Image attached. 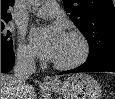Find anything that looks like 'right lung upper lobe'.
Returning <instances> with one entry per match:
<instances>
[{"label": "right lung upper lobe", "instance_id": "obj_1", "mask_svg": "<svg viewBox=\"0 0 115 99\" xmlns=\"http://www.w3.org/2000/svg\"><path fill=\"white\" fill-rule=\"evenodd\" d=\"M14 0H1V23H7L12 19L9 9L13 6Z\"/></svg>", "mask_w": 115, "mask_h": 99}]
</instances>
